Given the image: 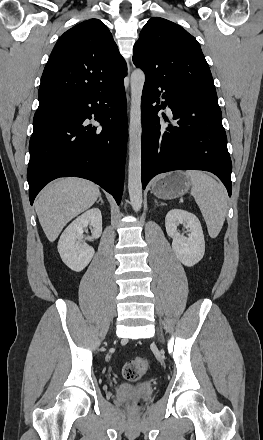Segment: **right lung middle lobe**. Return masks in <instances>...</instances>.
<instances>
[{"mask_svg":"<svg viewBox=\"0 0 263 440\" xmlns=\"http://www.w3.org/2000/svg\"><path fill=\"white\" fill-rule=\"evenodd\" d=\"M59 104L58 105H47L38 107L36 110V113L34 115L33 119V126H37L55 113L58 112Z\"/></svg>","mask_w":263,"mask_h":440,"instance_id":"right-lung-middle-lobe-1","label":"right lung middle lobe"}]
</instances>
